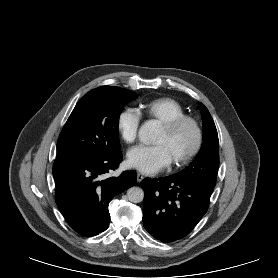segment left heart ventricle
I'll list each match as a JSON object with an SVG mask.
<instances>
[{"instance_id": "1", "label": "left heart ventricle", "mask_w": 278, "mask_h": 278, "mask_svg": "<svg viewBox=\"0 0 278 278\" xmlns=\"http://www.w3.org/2000/svg\"><path fill=\"white\" fill-rule=\"evenodd\" d=\"M194 140L195 135L192 127L184 125L172 135H167L160 129L154 144L163 146L172 162L185 155L192 148Z\"/></svg>"}]
</instances>
